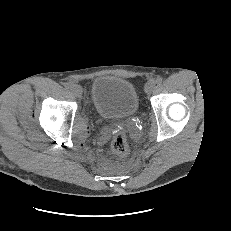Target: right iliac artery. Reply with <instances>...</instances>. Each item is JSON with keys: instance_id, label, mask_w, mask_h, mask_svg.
Wrapping results in <instances>:
<instances>
[{"instance_id": "82829eb1", "label": "right iliac artery", "mask_w": 231, "mask_h": 231, "mask_svg": "<svg viewBox=\"0 0 231 231\" xmlns=\"http://www.w3.org/2000/svg\"><path fill=\"white\" fill-rule=\"evenodd\" d=\"M64 87H65L66 89H69V88L71 87V84H70L69 82H65V83H64Z\"/></svg>"}]
</instances>
